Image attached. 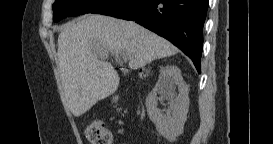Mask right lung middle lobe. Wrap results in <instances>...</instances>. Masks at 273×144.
I'll return each mask as SVG.
<instances>
[{"instance_id": "1", "label": "right lung middle lobe", "mask_w": 273, "mask_h": 144, "mask_svg": "<svg viewBox=\"0 0 273 144\" xmlns=\"http://www.w3.org/2000/svg\"><path fill=\"white\" fill-rule=\"evenodd\" d=\"M109 0H56L53 4V21L58 22L67 16L91 13Z\"/></svg>"}]
</instances>
